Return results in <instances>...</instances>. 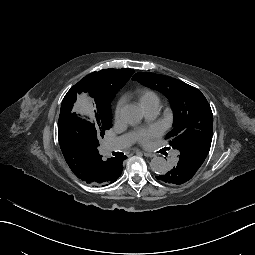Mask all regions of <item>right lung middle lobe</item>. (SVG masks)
<instances>
[{"label": "right lung middle lobe", "instance_id": "1", "mask_svg": "<svg viewBox=\"0 0 255 255\" xmlns=\"http://www.w3.org/2000/svg\"><path fill=\"white\" fill-rule=\"evenodd\" d=\"M111 127L110 106L100 109L90 122L80 118L72 110V106L63 103L61 105L58 122V139L61 147L74 148L76 151L97 148L99 140Z\"/></svg>", "mask_w": 255, "mask_h": 255}]
</instances>
